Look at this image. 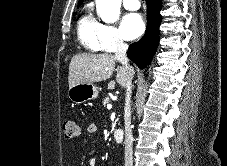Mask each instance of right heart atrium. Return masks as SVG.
Here are the masks:
<instances>
[{"mask_svg":"<svg viewBox=\"0 0 227 166\" xmlns=\"http://www.w3.org/2000/svg\"><path fill=\"white\" fill-rule=\"evenodd\" d=\"M101 41L103 50L110 52L124 45L118 29L112 24L102 25Z\"/></svg>","mask_w":227,"mask_h":166,"instance_id":"d8ad5b80","label":"right heart atrium"}]
</instances>
